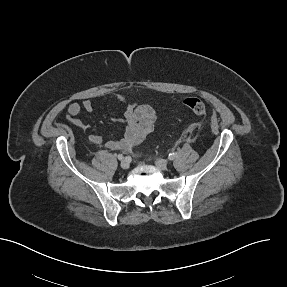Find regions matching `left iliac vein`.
<instances>
[{
  "label": "left iliac vein",
  "instance_id": "4c4485c4",
  "mask_svg": "<svg viewBox=\"0 0 287 287\" xmlns=\"http://www.w3.org/2000/svg\"><path fill=\"white\" fill-rule=\"evenodd\" d=\"M155 165L161 170H166L168 167V162L165 159H157L155 161Z\"/></svg>",
  "mask_w": 287,
  "mask_h": 287
}]
</instances>
